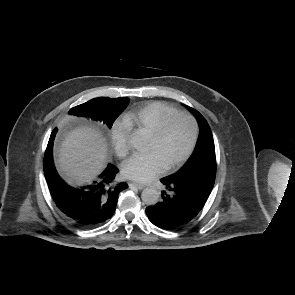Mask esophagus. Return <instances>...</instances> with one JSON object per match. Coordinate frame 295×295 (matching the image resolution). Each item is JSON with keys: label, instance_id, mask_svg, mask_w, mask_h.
<instances>
[{"label": "esophagus", "instance_id": "obj_1", "mask_svg": "<svg viewBox=\"0 0 295 295\" xmlns=\"http://www.w3.org/2000/svg\"><path fill=\"white\" fill-rule=\"evenodd\" d=\"M129 186H130V187H135V188H137V189H139V190H141V189H143V188L145 187L144 185L139 184V183H135V182H131V183H129Z\"/></svg>", "mask_w": 295, "mask_h": 295}]
</instances>
